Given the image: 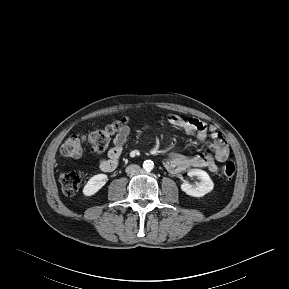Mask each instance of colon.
<instances>
[{"label":"colon","mask_w":289,"mask_h":289,"mask_svg":"<svg viewBox=\"0 0 289 289\" xmlns=\"http://www.w3.org/2000/svg\"><path fill=\"white\" fill-rule=\"evenodd\" d=\"M127 118L114 121L103 128L90 132L89 134H74L69 136L61 146V153L66 157L78 158L85 151L89 150L94 153L104 152L114 135L120 129L126 126ZM236 165L233 160H229L224 168L223 175L225 179H230L235 173ZM83 175L77 171H69L60 175L59 181L61 188L66 195H74L77 193L82 182Z\"/></svg>","instance_id":"5ec220e1"}]
</instances>
